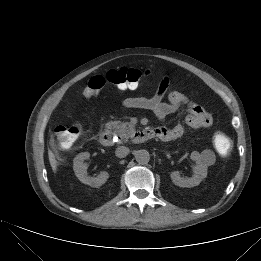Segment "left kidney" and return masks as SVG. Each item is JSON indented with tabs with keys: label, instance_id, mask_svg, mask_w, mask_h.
Instances as JSON below:
<instances>
[{
	"label": "left kidney",
	"instance_id": "left-kidney-1",
	"mask_svg": "<svg viewBox=\"0 0 261 261\" xmlns=\"http://www.w3.org/2000/svg\"><path fill=\"white\" fill-rule=\"evenodd\" d=\"M190 158L196 162L193 177H181L179 171H173L170 173L172 182L179 187L190 188L198 186L200 182L207 177V166L202 161L201 155L197 151H193Z\"/></svg>",
	"mask_w": 261,
	"mask_h": 261
}]
</instances>
